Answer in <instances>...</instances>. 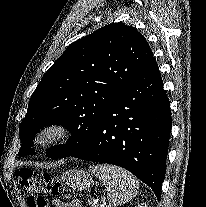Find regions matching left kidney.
<instances>
[{"label":"left kidney","mask_w":206,"mask_h":207,"mask_svg":"<svg viewBox=\"0 0 206 207\" xmlns=\"http://www.w3.org/2000/svg\"><path fill=\"white\" fill-rule=\"evenodd\" d=\"M135 207H147L146 204H139L138 206Z\"/></svg>","instance_id":"5707ae66"}]
</instances>
